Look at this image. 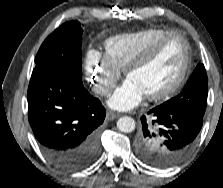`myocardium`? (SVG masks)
I'll list each match as a JSON object with an SVG mask.
<instances>
[{
  "label": "myocardium",
  "instance_id": "myocardium-1",
  "mask_svg": "<svg viewBox=\"0 0 223 188\" xmlns=\"http://www.w3.org/2000/svg\"><path fill=\"white\" fill-rule=\"evenodd\" d=\"M173 36L181 38L185 47V56L181 71L172 84L161 91L146 95V98L150 101H160L172 97L182 88L187 80L191 68L192 51L186 36L179 31H168L162 34L142 49L124 68L125 76L129 77L134 69L145 63L168 38Z\"/></svg>",
  "mask_w": 223,
  "mask_h": 188
}]
</instances>
